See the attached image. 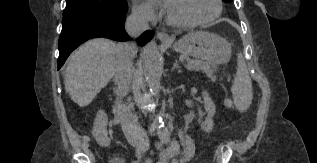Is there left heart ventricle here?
Here are the masks:
<instances>
[{
  "instance_id": "b2bd125f",
  "label": "left heart ventricle",
  "mask_w": 317,
  "mask_h": 163,
  "mask_svg": "<svg viewBox=\"0 0 317 163\" xmlns=\"http://www.w3.org/2000/svg\"><path fill=\"white\" fill-rule=\"evenodd\" d=\"M169 14L178 21L205 19L215 12V0H162Z\"/></svg>"
}]
</instances>
